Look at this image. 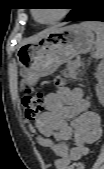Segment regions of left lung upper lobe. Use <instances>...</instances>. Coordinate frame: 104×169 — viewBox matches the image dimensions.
Masks as SVG:
<instances>
[{"instance_id": "5c2ea615", "label": "left lung upper lobe", "mask_w": 104, "mask_h": 169, "mask_svg": "<svg viewBox=\"0 0 104 169\" xmlns=\"http://www.w3.org/2000/svg\"><path fill=\"white\" fill-rule=\"evenodd\" d=\"M74 6H76V8H73V10L70 12V14H72V13L77 9L78 3H75ZM70 14H69V15H70Z\"/></svg>"}]
</instances>
